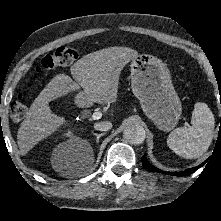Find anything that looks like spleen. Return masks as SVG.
Returning <instances> with one entry per match:
<instances>
[{
	"label": "spleen",
	"instance_id": "3e777b00",
	"mask_svg": "<svg viewBox=\"0 0 221 221\" xmlns=\"http://www.w3.org/2000/svg\"><path fill=\"white\" fill-rule=\"evenodd\" d=\"M191 124L188 128L175 129L167 139L169 148L177 155L187 159L202 156L212 142L215 119L207 104L195 103Z\"/></svg>",
	"mask_w": 221,
	"mask_h": 221
}]
</instances>
